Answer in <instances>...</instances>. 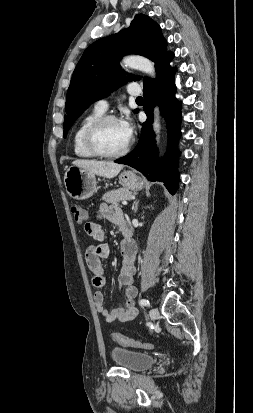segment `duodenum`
Instances as JSON below:
<instances>
[{
    "mask_svg": "<svg viewBox=\"0 0 253 413\" xmlns=\"http://www.w3.org/2000/svg\"><path fill=\"white\" fill-rule=\"evenodd\" d=\"M123 236L125 237V239L130 240L131 237V231L129 229V227L127 225H125L123 227Z\"/></svg>",
    "mask_w": 253,
    "mask_h": 413,
    "instance_id": "410a0bca",
    "label": "duodenum"
}]
</instances>
